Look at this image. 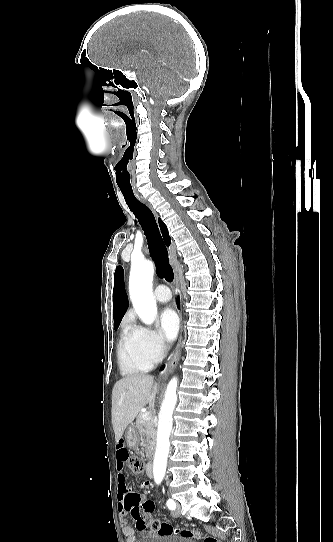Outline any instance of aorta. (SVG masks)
I'll return each mask as SVG.
<instances>
[{
  "label": "aorta",
  "instance_id": "aorta-1",
  "mask_svg": "<svg viewBox=\"0 0 333 542\" xmlns=\"http://www.w3.org/2000/svg\"><path fill=\"white\" fill-rule=\"evenodd\" d=\"M154 268L152 262L132 266L129 278V294L133 308L140 320L151 326L157 316V304L153 298L152 282ZM177 378L169 382L158 416L157 446L153 464L155 484H161L167 466L170 448V432L173 426V412L177 402Z\"/></svg>",
  "mask_w": 333,
  "mask_h": 542
}]
</instances>
